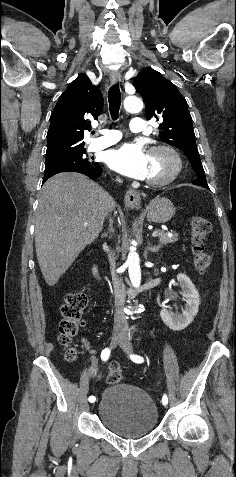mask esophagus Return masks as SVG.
Here are the masks:
<instances>
[{"mask_svg": "<svg viewBox=\"0 0 236 477\" xmlns=\"http://www.w3.org/2000/svg\"><path fill=\"white\" fill-rule=\"evenodd\" d=\"M121 80V75L120 72L118 71H113L110 74V81L112 84H115ZM124 202L126 206L131 207V208H140V203H141V197L139 192H137L134 189H128L125 197H124Z\"/></svg>", "mask_w": 236, "mask_h": 477, "instance_id": "34e87169", "label": "esophagus"}]
</instances>
